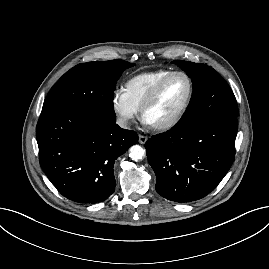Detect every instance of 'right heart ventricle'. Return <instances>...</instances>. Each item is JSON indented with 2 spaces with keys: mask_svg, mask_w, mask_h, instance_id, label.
Masks as SVG:
<instances>
[{
  "mask_svg": "<svg viewBox=\"0 0 269 269\" xmlns=\"http://www.w3.org/2000/svg\"><path fill=\"white\" fill-rule=\"evenodd\" d=\"M171 72L156 70L137 74L126 81L123 91L129 102L140 110L155 86Z\"/></svg>",
  "mask_w": 269,
  "mask_h": 269,
  "instance_id": "1",
  "label": "right heart ventricle"
}]
</instances>
